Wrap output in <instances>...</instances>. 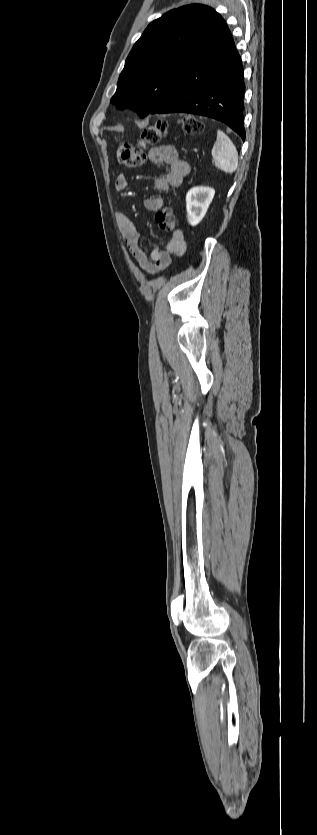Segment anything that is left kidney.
I'll return each mask as SVG.
<instances>
[{"label":"left kidney","mask_w":317,"mask_h":835,"mask_svg":"<svg viewBox=\"0 0 317 835\" xmlns=\"http://www.w3.org/2000/svg\"><path fill=\"white\" fill-rule=\"evenodd\" d=\"M214 194L213 188L205 186L193 187L187 192V220L192 226L197 225L204 218Z\"/></svg>","instance_id":"1"}]
</instances>
